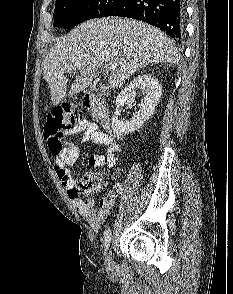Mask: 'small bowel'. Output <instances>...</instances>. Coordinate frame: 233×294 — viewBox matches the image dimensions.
Wrapping results in <instances>:
<instances>
[{"label":"small bowel","mask_w":233,"mask_h":294,"mask_svg":"<svg viewBox=\"0 0 233 294\" xmlns=\"http://www.w3.org/2000/svg\"><path fill=\"white\" fill-rule=\"evenodd\" d=\"M70 134H82L81 143L90 141L95 144L106 146L105 154H93L89 158V164L93 167H112L115 165V156L118 152V145L114 142L113 137L99 130L97 123L88 120H82L76 124ZM80 155V149L77 145H70L66 147L61 158L54 161L53 168L55 174L63 188L67 191L69 198L77 211L89 223V225L98 230L108 215L113 210L115 203L122 192V185L120 183L114 184L106 193V195L99 201L98 208H96L93 199H83L76 192L75 181L70 174L69 168L75 164ZM102 177V174H99Z\"/></svg>","instance_id":"1"}]
</instances>
